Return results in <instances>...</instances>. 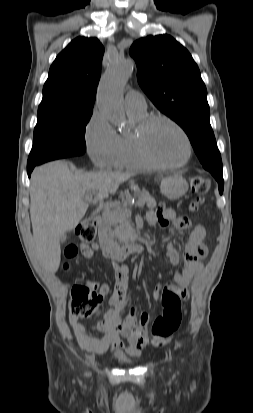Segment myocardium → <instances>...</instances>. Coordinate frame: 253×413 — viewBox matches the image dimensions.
Wrapping results in <instances>:
<instances>
[{
    "label": "myocardium",
    "instance_id": "f54148a6",
    "mask_svg": "<svg viewBox=\"0 0 253 413\" xmlns=\"http://www.w3.org/2000/svg\"><path fill=\"white\" fill-rule=\"evenodd\" d=\"M157 122H166L173 126L183 137L186 145V155L184 159L175 164H167L157 160L150 152L148 145H147V135L151 127L156 124ZM135 142L137 149L142 156V158L152 167L158 169H177L185 166L192 155V143L184 128L172 118L166 115H151L147 116L144 120H142L136 129L135 132Z\"/></svg>",
    "mask_w": 253,
    "mask_h": 413
}]
</instances>
